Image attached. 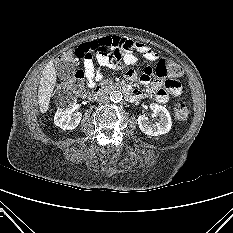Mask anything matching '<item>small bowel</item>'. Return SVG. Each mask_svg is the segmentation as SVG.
<instances>
[{
  "label": "small bowel",
  "mask_w": 233,
  "mask_h": 233,
  "mask_svg": "<svg viewBox=\"0 0 233 233\" xmlns=\"http://www.w3.org/2000/svg\"><path fill=\"white\" fill-rule=\"evenodd\" d=\"M135 52L141 54L147 61L155 64L154 67L146 66L139 79L142 83L151 86L157 102L166 103L170 97H176L181 94L182 87L178 81L174 79L163 80V76L157 73L158 64L163 60L161 55L142 43L117 36L103 37L78 45L75 49V56L83 61L87 85L91 88L95 85V81H99L103 77L99 67L121 70L125 66L136 62ZM94 58L99 67L96 66ZM126 77L129 80H136L138 75L135 71L128 70ZM133 92L136 99L142 96V93L138 90Z\"/></svg>",
  "instance_id": "small-bowel-1"
}]
</instances>
